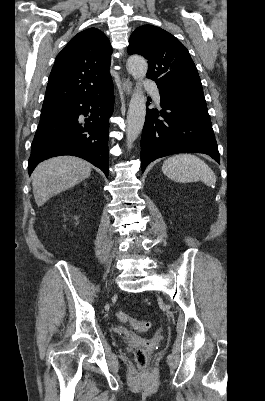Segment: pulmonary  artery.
Here are the masks:
<instances>
[{
  "label": "pulmonary artery",
  "mask_w": 265,
  "mask_h": 401,
  "mask_svg": "<svg viewBox=\"0 0 265 401\" xmlns=\"http://www.w3.org/2000/svg\"><path fill=\"white\" fill-rule=\"evenodd\" d=\"M140 81H141V83H143L142 87H143L144 90H153L154 87H155L154 82L153 81H149V78L146 75L141 76ZM153 98H154L156 103H160V95H159V92H158L157 89H155L153 91Z\"/></svg>",
  "instance_id": "pulmonary-artery-1"
}]
</instances>
